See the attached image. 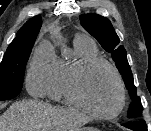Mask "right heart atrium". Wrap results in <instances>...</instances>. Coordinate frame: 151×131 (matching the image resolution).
Masks as SVG:
<instances>
[{"label": "right heart atrium", "mask_w": 151, "mask_h": 131, "mask_svg": "<svg viewBox=\"0 0 151 131\" xmlns=\"http://www.w3.org/2000/svg\"><path fill=\"white\" fill-rule=\"evenodd\" d=\"M51 54L36 53L27 68L25 82L28 92L35 97H43L47 94L53 71Z\"/></svg>", "instance_id": "right-heart-atrium-1"}]
</instances>
